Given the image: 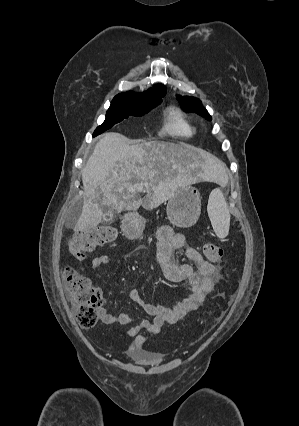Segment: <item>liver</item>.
<instances>
[{"instance_id": "6515ba94", "label": "liver", "mask_w": 299, "mask_h": 426, "mask_svg": "<svg viewBox=\"0 0 299 426\" xmlns=\"http://www.w3.org/2000/svg\"><path fill=\"white\" fill-rule=\"evenodd\" d=\"M199 167V176L224 181L227 168L208 152L184 143L149 141L129 145L119 133L103 135L82 169L84 199L77 230L97 227L103 207L117 212L153 209L171 198L189 181L187 173ZM140 192H146L141 199Z\"/></svg>"}]
</instances>
